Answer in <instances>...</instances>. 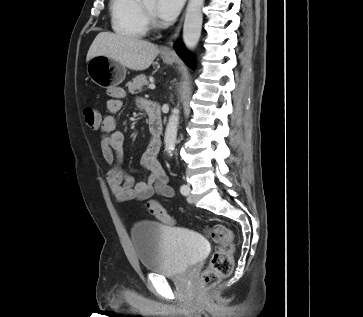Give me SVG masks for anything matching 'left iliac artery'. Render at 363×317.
<instances>
[{"label":"left iliac artery","instance_id":"44dca946","mask_svg":"<svg viewBox=\"0 0 363 317\" xmlns=\"http://www.w3.org/2000/svg\"><path fill=\"white\" fill-rule=\"evenodd\" d=\"M180 192L183 194V195H187L188 194V188L185 184H183L181 187H180Z\"/></svg>","mask_w":363,"mask_h":317}]
</instances>
